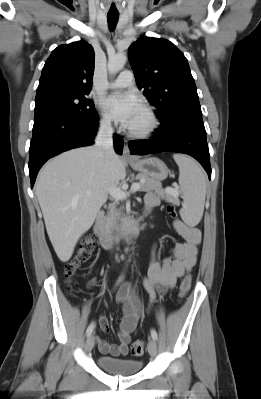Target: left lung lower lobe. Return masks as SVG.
Instances as JSON below:
<instances>
[{"label": "left lung lower lobe", "instance_id": "obj_1", "mask_svg": "<svg viewBox=\"0 0 261 399\" xmlns=\"http://www.w3.org/2000/svg\"><path fill=\"white\" fill-rule=\"evenodd\" d=\"M154 134L155 136L148 140L130 141L131 153L137 155L159 152L185 153L199 161L209 179L211 178L209 149L202 116L184 118L170 128L156 129Z\"/></svg>", "mask_w": 261, "mask_h": 399}]
</instances>
